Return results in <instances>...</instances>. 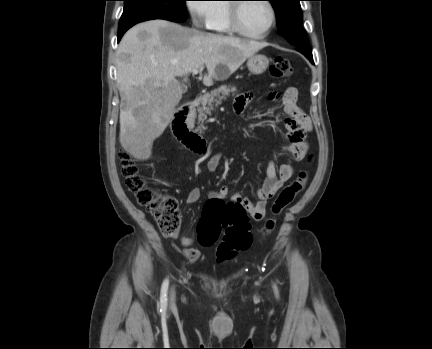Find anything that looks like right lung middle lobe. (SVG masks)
<instances>
[{
    "label": "right lung middle lobe",
    "mask_w": 432,
    "mask_h": 349,
    "mask_svg": "<svg viewBox=\"0 0 432 349\" xmlns=\"http://www.w3.org/2000/svg\"><path fill=\"white\" fill-rule=\"evenodd\" d=\"M124 11L119 27L134 25L151 19L182 22L187 18V0H123Z\"/></svg>",
    "instance_id": "right-lung-middle-lobe-1"
}]
</instances>
